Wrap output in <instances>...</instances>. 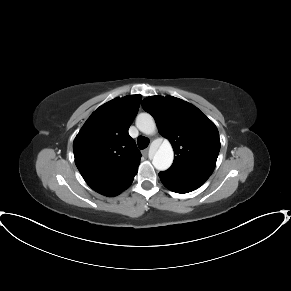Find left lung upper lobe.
Returning <instances> with one entry per match:
<instances>
[{
  "instance_id": "5c2ea615",
  "label": "left lung upper lobe",
  "mask_w": 291,
  "mask_h": 291,
  "mask_svg": "<svg viewBox=\"0 0 291 291\" xmlns=\"http://www.w3.org/2000/svg\"><path fill=\"white\" fill-rule=\"evenodd\" d=\"M142 107L154 117L160 134L174 149V162L165 173L205 182L220 150L215 124L194 105L172 96L145 98Z\"/></svg>"
}]
</instances>
